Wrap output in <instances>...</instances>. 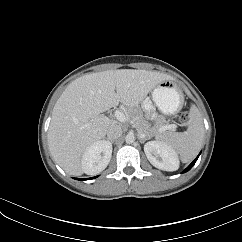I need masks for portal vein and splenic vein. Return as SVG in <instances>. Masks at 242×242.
I'll use <instances>...</instances> for the list:
<instances>
[{
  "mask_svg": "<svg viewBox=\"0 0 242 242\" xmlns=\"http://www.w3.org/2000/svg\"><path fill=\"white\" fill-rule=\"evenodd\" d=\"M114 116L116 117V119L122 123H125L128 121L129 117L127 115H125L123 112L116 110L114 112ZM176 125H169V126H165L164 130H170V129H176ZM141 137H145L144 134H140Z\"/></svg>",
  "mask_w": 242,
  "mask_h": 242,
  "instance_id": "1",
  "label": "portal vein and splenic vein"
}]
</instances>
